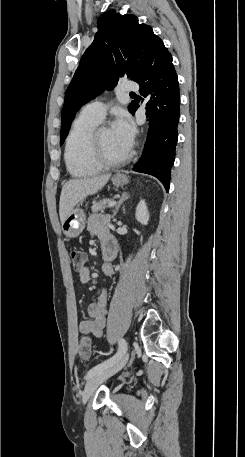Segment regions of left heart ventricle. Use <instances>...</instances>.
<instances>
[{"label": "left heart ventricle", "mask_w": 245, "mask_h": 457, "mask_svg": "<svg viewBox=\"0 0 245 457\" xmlns=\"http://www.w3.org/2000/svg\"><path fill=\"white\" fill-rule=\"evenodd\" d=\"M128 147L118 138L113 129L102 130L93 144V156L96 159L116 158L122 156Z\"/></svg>", "instance_id": "left-heart-ventricle-1"}]
</instances>
